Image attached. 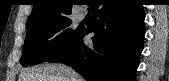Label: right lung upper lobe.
<instances>
[{"mask_svg":"<svg viewBox=\"0 0 169 81\" xmlns=\"http://www.w3.org/2000/svg\"><path fill=\"white\" fill-rule=\"evenodd\" d=\"M34 7L28 24L69 16L71 14L73 0H34Z\"/></svg>","mask_w":169,"mask_h":81,"instance_id":"right-lung-upper-lobe-1","label":"right lung upper lobe"}]
</instances>
